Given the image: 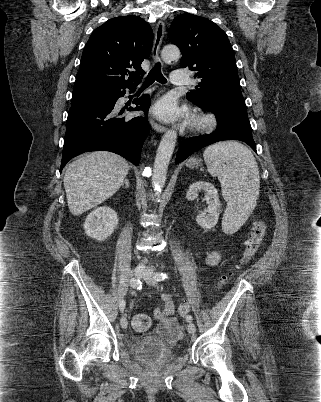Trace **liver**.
Masks as SVG:
<instances>
[{
  "label": "liver",
  "instance_id": "obj_1",
  "mask_svg": "<svg viewBox=\"0 0 321 402\" xmlns=\"http://www.w3.org/2000/svg\"><path fill=\"white\" fill-rule=\"evenodd\" d=\"M130 170L121 156L95 151L73 161L64 175V188L70 212L79 216L110 198Z\"/></svg>",
  "mask_w": 321,
  "mask_h": 402
}]
</instances>
